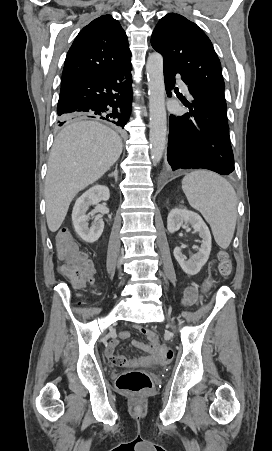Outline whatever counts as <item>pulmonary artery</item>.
<instances>
[{"label":"pulmonary artery","mask_w":272,"mask_h":451,"mask_svg":"<svg viewBox=\"0 0 272 451\" xmlns=\"http://www.w3.org/2000/svg\"><path fill=\"white\" fill-rule=\"evenodd\" d=\"M178 91L182 94L184 100L189 101L192 98V95L189 91V89H187L186 83L184 80H179L178 81Z\"/></svg>","instance_id":"obj_1"}]
</instances>
